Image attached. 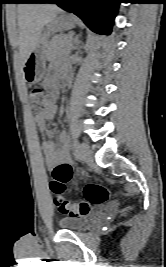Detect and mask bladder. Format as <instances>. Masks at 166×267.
Returning a JSON list of instances; mask_svg holds the SVG:
<instances>
[{
    "mask_svg": "<svg viewBox=\"0 0 166 267\" xmlns=\"http://www.w3.org/2000/svg\"><path fill=\"white\" fill-rule=\"evenodd\" d=\"M97 218V214L83 216L65 217L59 220L58 224L64 230H83L90 226Z\"/></svg>",
    "mask_w": 166,
    "mask_h": 267,
    "instance_id": "1",
    "label": "bladder"
}]
</instances>
